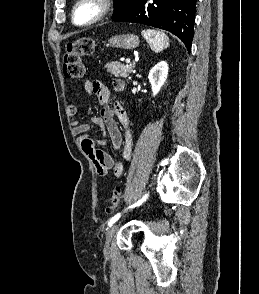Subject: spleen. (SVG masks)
I'll list each match as a JSON object with an SVG mask.
<instances>
[{
	"label": "spleen",
	"instance_id": "3e777b00",
	"mask_svg": "<svg viewBox=\"0 0 259 294\" xmlns=\"http://www.w3.org/2000/svg\"><path fill=\"white\" fill-rule=\"evenodd\" d=\"M142 36L146 39L150 48L156 53L161 52L169 46V38L162 31L146 29L142 31Z\"/></svg>",
	"mask_w": 259,
	"mask_h": 294
}]
</instances>
